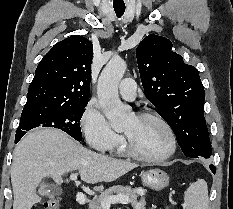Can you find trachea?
Segmentation results:
<instances>
[{"label":"trachea","instance_id":"trachea-1","mask_svg":"<svg viewBox=\"0 0 233 209\" xmlns=\"http://www.w3.org/2000/svg\"><path fill=\"white\" fill-rule=\"evenodd\" d=\"M115 13L118 17H121L124 14L125 6H114Z\"/></svg>","mask_w":233,"mask_h":209}]
</instances>
